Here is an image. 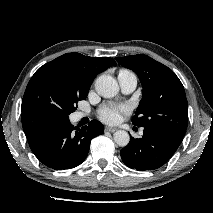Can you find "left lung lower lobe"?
Returning <instances> with one entry per match:
<instances>
[{"instance_id":"0a47b994","label":"left lung lower lobe","mask_w":213,"mask_h":213,"mask_svg":"<svg viewBox=\"0 0 213 213\" xmlns=\"http://www.w3.org/2000/svg\"><path fill=\"white\" fill-rule=\"evenodd\" d=\"M183 135L160 128L144 127L143 136L130 137L129 144L120 151L126 166L138 171L154 170L165 164L175 153Z\"/></svg>"}]
</instances>
